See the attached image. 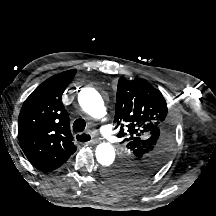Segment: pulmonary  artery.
I'll list each match as a JSON object with an SVG mask.
<instances>
[{
    "mask_svg": "<svg viewBox=\"0 0 216 216\" xmlns=\"http://www.w3.org/2000/svg\"><path fill=\"white\" fill-rule=\"evenodd\" d=\"M101 133L111 142L115 139L112 129L108 126L102 127Z\"/></svg>",
    "mask_w": 216,
    "mask_h": 216,
    "instance_id": "obj_1",
    "label": "pulmonary artery"
}]
</instances>
